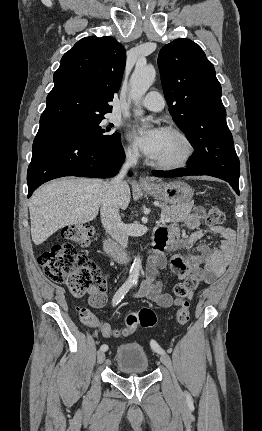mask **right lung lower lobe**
I'll use <instances>...</instances> for the list:
<instances>
[{
    "instance_id": "1",
    "label": "right lung lower lobe",
    "mask_w": 262,
    "mask_h": 431,
    "mask_svg": "<svg viewBox=\"0 0 262 431\" xmlns=\"http://www.w3.org/2000/svg\"><path fill=\"white\" fill-rule=\"evenodd\" d=\"M121 142L96 143L71 133L39 129L28 167V197L43 183L64 176L107 178L124 160Z\"/></svg>"
}]
</instances>
